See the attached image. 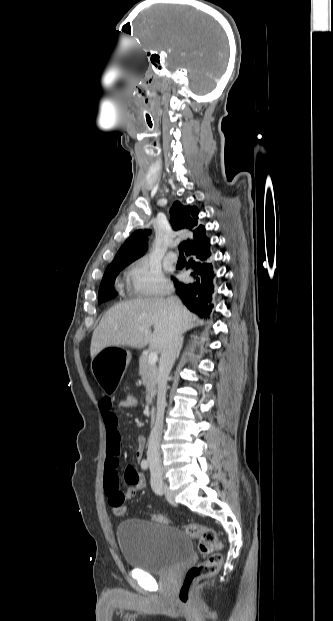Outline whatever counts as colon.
Instances as JSON below:
<instances>
[{
  "label": "colon",
  "instance_id": "colon-1",
  "mask_svg": "<svg viewBox=\"0 0 333 621\" xmlns=\"http://www.w3.org/2000/svg\"><path fill=\"white\" fill-rule=\"evenodd\" d=\"M120 403L123 408L131 410L139 405V399L134 392L129 391L123 395ZM113 511L116 515L121 516L125 513V506L117 505L113 508ZM151 519L159 523H168L167 518L160 514L153 515ZM185 531L191 538L199 541L200 551L206 555V559L190 567L185 573L179 590V600L181 603L189 601L192 586L197 580L215 574L222 563V557L219 553L221 542L214 529L197 523H190L186 526Z\"/></svg>",
  "mask_w": 333,
  "mask_h": 621
}]
</instances>
